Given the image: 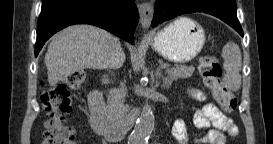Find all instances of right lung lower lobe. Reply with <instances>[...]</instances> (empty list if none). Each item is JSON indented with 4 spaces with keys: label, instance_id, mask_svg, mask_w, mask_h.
Returning a JSON list of instances; mask_svg holds the SVG:
<instances>
[{
    "label": "right lung lower lobe",
    "instance_id": "obj_1",
    "mask_svg": "<svg viewBox=\"0 0 273 144\" xmlns=\"http://www.w3.org/2000/svg\"><path fill=\"white\" fill-rule=\"evenodd\" d=\"M138 11L132 0H42L35 56L56 32L73 24H91L134 43Z\"/></svg>",
    "mask_w": 273,
    "mask_h": 144
}]
</instances>
